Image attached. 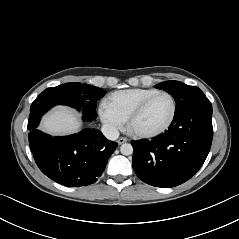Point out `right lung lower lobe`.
<instances>
[{
    "mask_svg": "<svg viewBox=\"0 0 239 239\" xmlns=\"http://www.w3.org/2000/svg\"><path fill=\"white\" fill-rule=\"evenodd\" d=\"M38 123L28 124L29 144L35 162L46 176L65 186L95 183L118 146L97 129L86 128L77 134L51 137L36 129Z\"/></svg>",
    "mask_w": 239,
    "mask_h": 239,
    "instance_id": "1",
    "label": "right lung lower lobe"
}]
</instances>
